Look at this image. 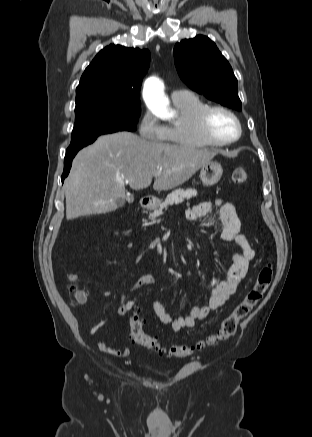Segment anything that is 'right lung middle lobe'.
I'll return each instance as SVG.
<instances>
[{"instance_id": "1", "label": "right lung middle lobe", "mask_w": 312, "mask_h": 437, "mask_svg": "<svg viewBox=\"0 0 312 437\" xmlns=\"http://www.w3.org/2000/svg\"><path fill=\"white\" fill-rule=\"evenodd\" d=\"M141 112L136 105L89 104L75 108V125L66 154L93 143L99 135L134 131Z\"/></svg>"}]
</instances>
